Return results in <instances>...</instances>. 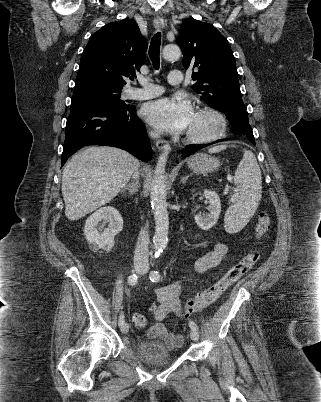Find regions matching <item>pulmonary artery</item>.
Wrapping results in <instances>:
<instances>
[{
  "label": "pulmonary artery",
  "mask_w": 321,
  "mask_h": 402,
  "mask_svg": "<svg viewBox=\"0 0 321 402\" xmlns=\"http://www.w3.org/2000/svg\"><path fill=\"white\" fill-rule=\"evenodd\" d=\"M183 76L179 70H173L168 75V82L170 85L178 86L182 83ZM142 88L133 89L130 92V98L136 100H146L157 97L164 92V89L158 85H155L147 79H140Z\"/></svg>",
  "instance_id": "obj_1"
}]
</instances>
